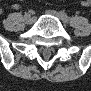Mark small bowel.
<instances>
[{"label":"small bowel","mask_w":91,"mask_h":91,"mask_svg":"<svg viewBox=\"0 0 91 91\" xmlns=\"http://www.w3.org/2000/svg\"><path fill=\"white\" fill-rule=\"evenodd\" d=\"M83 6H84V7H88V6H89V2H88V1H84V2H83Z\"/></svg>","instance_id":"small-bowel-1"}]
</instances>
